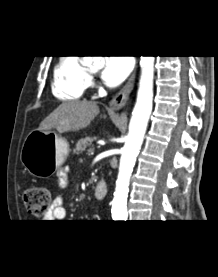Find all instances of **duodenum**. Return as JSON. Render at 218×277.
<instances>
[{"label": "duodenum", "mask_w": 218, "mask_h": 277, "mask_svg": "<svg viewBox=\"0 0 218 277\" xmlns=\"http://www.w3.org/2000/svg\"><path fill=\"white\" fill-rule=\"evenodd\" d=\"M107 184L104 181H98L94 186V193L97 199H104L107 195Z\"/></svg>", "instance_id": "duodenum-1"}]
</instances>
